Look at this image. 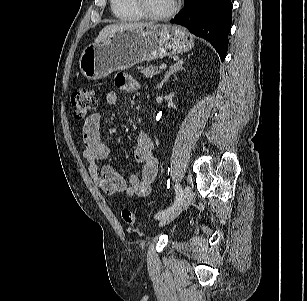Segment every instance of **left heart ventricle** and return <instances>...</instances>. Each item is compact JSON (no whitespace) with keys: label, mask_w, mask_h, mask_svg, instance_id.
I'll list each match as a JSON object with an SVG mask.
<instances>
[{"label":"left heart ventricle","mask_w":307,"mask_h":301,"mask_svg":"<svg viewBox=\"0 0 307 301\" xmlns=\"http://www.w3.org/2000/svg\"><path fill=\"white\" fill-rule=\"evenodd\" d=\"M148 9L153 13H164L168 11L174 3V0H145Z\"/></svg>","instance_id":"obj_1"}]
</instances>
